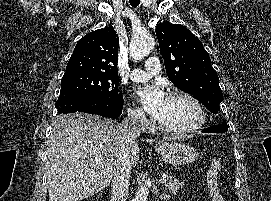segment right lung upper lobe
<instances>
[{
    "label": "right lung upper lobe",
    "mask_w": 271,
    "mask_h": 201,
    "mask_svg": "<svg viewBox=\"0 0 271 201\" xmlns=\"http://www.w3.org/2000/svg\"><path fill=\"white\" fill-rule=\"evenodd\" d=\"M119 38L113 27L93 31L75 46L66 71L85 70L118 75Z\"/></svg>",
    "instance_id": "cb5924a9"
}]
</instances>
